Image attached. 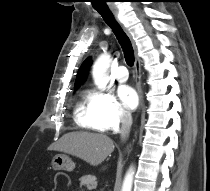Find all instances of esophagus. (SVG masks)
Masks as SVG:
<instances>
[{
  "mask_svg": "<svg viewBox=\"0 0 210 191\" xmlns=\"http://www.w3.org/2000/svg\"><path fill=\"white\" fill-rule=\"evenodd\" d=\"M110 9H111L116 21L120 24V26L123 28V30L130 36L127 28L124 26V24L119 19L118 9L116 7H111ZM134 47H135V45H134ZM135 77H136V87H137V91H138V94L140 97V108H141L142 100H143V92H142V87H141V62H140V59L137 54L135 57ZM130 147H131V144L127 147V150H129Z\"/></svg>",
  "mask_w": 210,
  "mask_h": 191,
  "instance_id": "esophagus-1",
  "label": "esophagus"
}]
</instances>
